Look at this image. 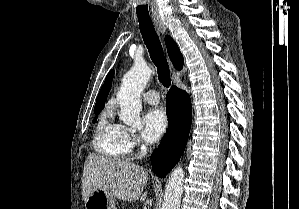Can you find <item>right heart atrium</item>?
<instances>
[{"label":"right heart atrium","mask_w":299,"mask_h":209,"mask_svg":"<svg viewBox=\"0 0 299 209\" xmlns=\"http://www.w3.org/2000/svg\"><path fill=\"white\" fill-rule=\"evenodd\" d=\"M124 139L129 151L134 150L140 145L138 136L135 135L134 133L129 132L126 129H125Z\"/></svg>","instance_id":"d8ad5b80"}]
</instances>
